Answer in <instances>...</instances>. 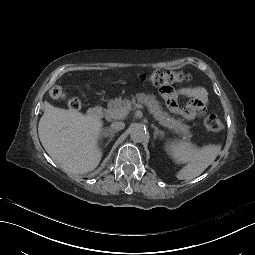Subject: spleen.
I'll use <instances>...</instances> for the list:
<instances>
[{
	"label": "spleen",
	"instance_id": "obj_1",
	"mask_svg": "<svg viewBox=\"0 0 255 255\" xmlns=\"http://www.w3.org/2000/svg\"><path fill=\"white\" fill-rule=\"evenodd\" d=\"M220 150V145L208 144L199 148L186 140L165 145V151L173 161L186 164L176 174L178 180L184 181L199 176L215 160Z\"/></svg>",
	"mask_w": 255,
	"mask_h": 255
}]
</instances>
